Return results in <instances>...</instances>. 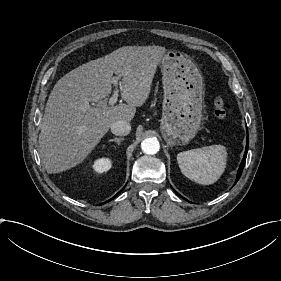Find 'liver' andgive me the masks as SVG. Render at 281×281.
Instances as JSON below:
<instances>
[{"mask_svg":"<svg viewBox=\"0 0 281 281\" xmlns=\"http://www.w3.org/2000/svg\"><path fill=\"white\" fill-rule=\"evenodd\" d=\"M162 46H122L86 62L54 85L40 123L39 145L48 173L73 167L92 150L117 121H131L147 99ZM113 73L119 74L123 100L108 109L102 102L111 92ZM97 102L95 112L83 107Z\"/></svg>","mask_w":281,"mask_h":281,"instance_id":"6515ba94","label":"liver"}]
</instances>
